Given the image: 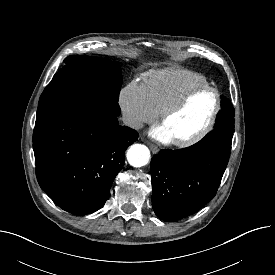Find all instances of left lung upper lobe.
Masks as SVG:
<instances>
[{"label": "left lung upper lobe", "instance_id": "5c2ea615", "mask_svg": "<svg viewBox=\"0 0 275 275\" xmlns=\"http://www.w3.org/2000/svg\"><path fill=\"white\" fill-rule=\"evenodd\" d=\"M221 107L222 110H225L226 114L222 120H217L216 118L214 130L227 129L234 132V109L231 102L224 96L221 97Z\"/></svg>", "mask_w": 275, "mask_h": 275}]
</instances>
